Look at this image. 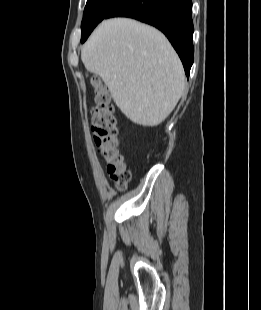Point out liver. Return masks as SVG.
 <instances>
[{
    "instance_id": "6515ba94",
    "label": "liver",
    "mask_w": 261,
    "mask_h": 310,
    "mask_svg": "<svg viewBox=\"0 0 261 310\" xmlns=\"http://www.w3.org/2000/svg\"><path fill=\"white\" fill-rule=\"evenodd\" d=\"M81 60L103 80L121 112L138 125H159L185 90L182 63L167 38L133 19L103 21L83 46Z\"/></svg>"
}]
</instances>
